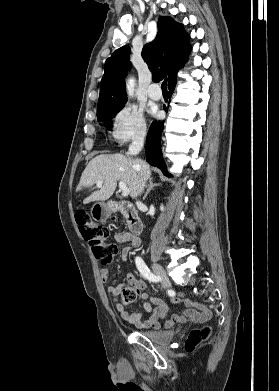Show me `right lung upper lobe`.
<instances>
[{"instance_id": "1", "label": "right lung upper lobe", "mask_w": 279, "mask_h": 391, "mask_svg": "<svg viewBox=\"0 0 279 391\" xmlns=\"http://www.w3.org/2000/svg\"><path fill=\"white\" fill-rule=\"evenodd\" d=\"M189 38L183 25L177 23L173 18L167 16L158 19L157 36L154 41L143 47L141 53L151 71L160 67L152 75L154 81L166 76L168 77V86L176 81L178 70L184 66L188 54L192 50L188 43ZM129 54L130 47L123 46L106 60L97 113L123 106L126 103L124 78L132 66Z\"/></svg>"}]
</instances>
